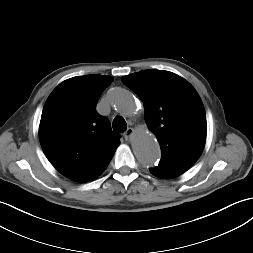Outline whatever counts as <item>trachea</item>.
Listing matches in <instances>:
<instances>
[{"label":"trachea","instance_id":"1","mask_svg":"<svg viewBox=\"0 0 253 253\" xmlns=\"http://www.w3.org/2000/svg\"><path fill=\"white\" fill-rule=\"evenodd\" d=\"M113 130L115 132L118 133H123L126 131L127 129V124L126 121L124 120L123 117L117 116L114 120H113Z\"/></svg>","mask_w":253,"mask_h":253}]
</instances>
